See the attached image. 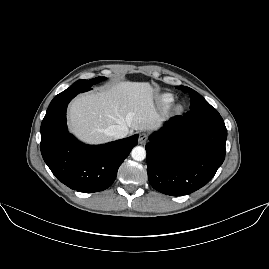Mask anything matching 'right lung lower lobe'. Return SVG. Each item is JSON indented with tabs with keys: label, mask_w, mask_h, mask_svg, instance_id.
I'll list each match as a JSON object with an SVG mask.
<instances>
[{
	"label": "right lung lower lobe",
	"mask_w": 269,
	"mask_h": 269,
	"mask_svg": "<svg viewBox=\"0 0 269 269\" xmlns=\"http://www.w3.org/2000/svg\"><path fill=\"white\" fill-rule=\"evenodd\" d=\"M91 86L89 87V90ZM84 88L69 87L51 101L41 124V153L52 173L69 188L84 193L112 185L119 166L138 143V135L91 146L67 131L66 108Z\"/></svg>",
	"instance_id": "1"
}]
</instances>
